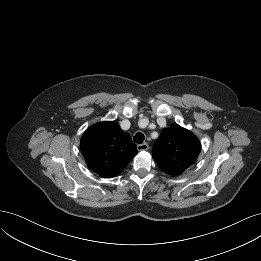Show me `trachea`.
<instances>
[{
  "mask_svg": "<svg viewBox=\"0 0 261 261\" xmlns=\"http://www.w3.org/2000/svg\"><path fill=\"white\" fill-rule=\"evenodd\" d=\"M145 137H144V134L141 133V132H138L134 135L133 137V141L135 143H138V144H142V142L144 141Z\"/></svg>",
  "mask_w": 261,
  "mask_h": 261,
  "instance_id": "obj_1",
  "label": "trachea"
}]
</instances>
